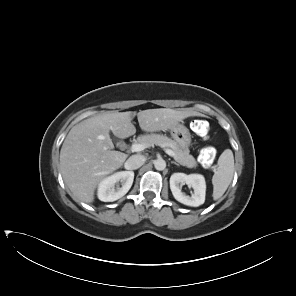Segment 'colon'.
<instances>
[{
	"mask_svg": "<svg viewBox=\"0 0 296 296\" xmlns=\"http://www.w3.org/2000/svg\"><path fill=\"white\" fill-rule=\"evenodd\" d=\"M191 130L199 135L205 136L208 131V125L203 120H192L190 123ZM214 151L212 148L208 147L201 151L200 161L204 164H207L213 158Z\"/></svg>",
	"mask_w": 296,
	"mask_h": 296,
	"instance_id": "obj_1",
	"label": "colon"
}]
</instances>
